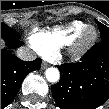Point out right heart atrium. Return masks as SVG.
<instances>
[{
    "label": "right heart atrium",
    "instance_id": "right-heart-atrium-1",
    "mask_svg": "<svg viewBox=\"0 0 109 109\" xmlns=\"http://www.w3.org/2000/svg\"><path fill=\"white\" fill-rule=\"evenodd\" d=\"M31 43V42H30ZM32 47L38 52V50L36 49V47L34 46L33 43H31ZM39 53V52H38Z\"/></svg>",
    "mask_w": 109,
    "mask_h": 109
}]
</instances>
